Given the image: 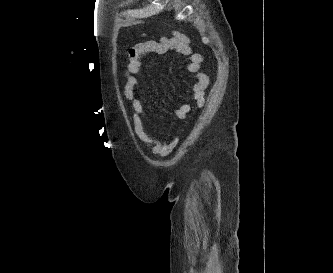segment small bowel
<instances>
[{"label": "small bowel", "mask_w": 333, "mask_h": 273, "mask_svg": "<svg viewBox=\"0 0 333 273\" xmlns=\"http://www.w3.org/2000/svg\"><path fill=\"white\" fill-rule=\"evenodd\" d=\"M171 51H177L189 58L187 70L196 76L191 87V94L195 105L202 107L204 93L209 83L208 76L200 70L203 58L200 54L193 52L189 38L178 31H174L171 38L161 35L157 41L147 40L132 46L128 51L129 61L124 72V96L132 103V121L135 134L157 157L166 155L174 144H163L146 132L143 105L141 100L135 97V90L139 85L137 76L144 69V58L153 53L164 54ZM188 109V105L180 106L176 111L177 117L184 118Z\"/></svg>", "instance_id": "1"}]
</instances>
